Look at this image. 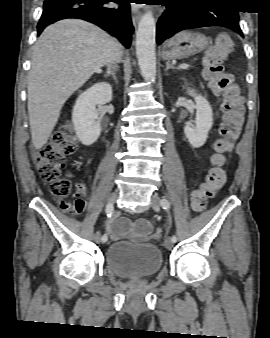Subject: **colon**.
I'll return each instance as SVG.
<instances>
[{"label": "colon", "mask_w": 270, "mask_h": 338, "mask_svg": "<svg viewBox=\"0 0 270 338\" xmlns=\"http://www.w3.org/2000/svg\"><path fill=\"white\" fill-rule=\"evenodd\" d=\"M234 44L230 36L223 34L204 49L201 57L202 76L209 82L211 89L223 97L221 137L214 143L212 156L213 167L204 182L191 193V206L194 212L202 213L206 203L213 198L226 182L228 160L232 141L238 136L243 122V107L238 96V87L230 74L225 73L222 62L233 51ZM77 147V138L72 126H67L55 133L51 140L42 146L34 155L36 169L44 182L49 186L53 196L65 199L72 192V184L65 177L64 170L67 157ZM83 199L72 202H60V208L70 216L76 217L83 212ZM160 231L154 234L158 239Z\"/></svg>", "instance_id": "colon-1"}]
</instances>
